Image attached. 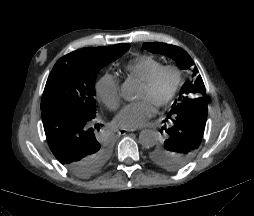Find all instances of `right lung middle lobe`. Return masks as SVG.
<instances>
[{"mask_svg": "<svg viewBox=\"0 0 254 216\" xmlns=\"http://www.w3.org/2000/svg\"><path fill=\"white\" fill-rule=\"evenodd\" d=\"M129 47L128 44H118L109 47L83 48L60 58L46 82L41 110L62 106L79 114L95 117L94 82L96 73L123 55ZM95 128L100 129V126ZM101 143L102 151L91 169V176L97 173L110 157V143L107 141Z\"/></svg>", "mask_w": 254, "mask_h": 216, "instance_id": "right-lung-middle-lobe-1", "label": "right lung middle lobe"}]
</instances>
